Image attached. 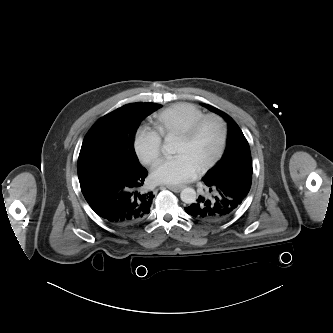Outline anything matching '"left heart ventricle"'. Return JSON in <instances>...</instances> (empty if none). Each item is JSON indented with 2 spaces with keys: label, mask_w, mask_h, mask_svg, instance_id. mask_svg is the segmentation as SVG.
Listing matches in <instances>:
<instances>
[{
  "label": "left heart ventricle",
  "mask_w": 333,
  "mask_h": 333,
  "mask_svg": "<svg viewBox=\"0 0 333 333\" xmlns=\"http://www.w3.org/2000/svg\"><path fill=\"white\" fill-rule=\"evenodd\" d=\"M220 138V125L214 120H209L203 124L192 140L185 141L178 138L175 153L185 154L199 168L214 156L218 149Z\"/></svg>",
  "instance_id": "b2bd125f"
}]
</instances>
